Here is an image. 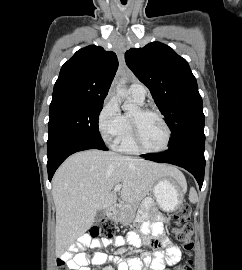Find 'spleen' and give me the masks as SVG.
Listing matches in <instances>:
<instances>
[{
  "label": "spleen",
  "instance_id": "obj_1",
  "mask_svg": "<svg viewBox=\"0 0 242 270\" xmlns=\"http://www.w3.org/2000/svg\"><path fill=\"white\" fill-rule=\"evenodd\" d=\"M184 183L186 184L185 181H184ZM189 200H190L191 203H196L198 201V196H197V193H196L194 188L190 189Z\"/></svg>",
  "mask_w": 242,
  "mask_h": 270
}]
</instances>
